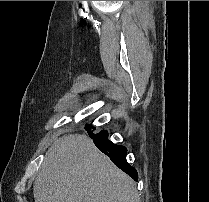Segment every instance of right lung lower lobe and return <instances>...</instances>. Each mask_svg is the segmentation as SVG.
<instances>
[{"mask_svg": "<svg viewBox=\"0 0 209 202\" xmlns=\"http://www.w3.org/2000/svg\"><path fill=\"white\" fill-rule=\"evenodd\" d=\"M91 124L86 125L85 129L88 131L89 136L93 139V142L99 148L100 151L108 155L111 161L132 177L135 181H138L137 171L131 167L126 161L127 149L124 146L116 145L108 140V132L100 131L95 133V128Z\"/></svg>", "mask_w": 209, "mask_h": 202, "instance_id": "obj_1", "label": "right lung lower lobe"}]
</instances>
